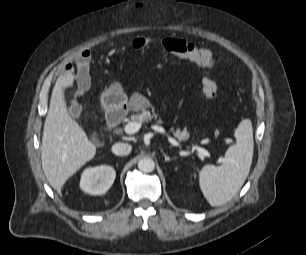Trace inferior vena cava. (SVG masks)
<instances>
[{"label":"inferior vena cava","mask_w":306,"mask_h":255,"mask_svg":"<svg viewBox=\"0 0 306 255\" xmlns=\"http://www.w3.org/2000/svg\"><path fill=\"white\" fill-rule=\"evenodd\" d=\"M131 150H132V146L127 143H115L112 146V152L115 155H119V156H126L130 154Z\"/></svg>","instance_id":"1"}]
</instances>
